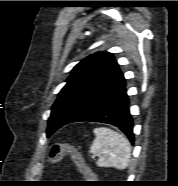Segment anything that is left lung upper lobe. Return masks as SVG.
<instances>
[{"label":"left lung upper lobe","instance_id":"5c2ea615","mask_svg":"<svg viewBox=\"0 0 178 186\" xmlns=\"http://www.w3.org/2000/svg\"><path fill=\"white\" fill-rule=\"evenodd\" d=\"M125 85L113 54L97 52L86 57L73 68L52 107L47 137Z\"/></svg>","mask_w":178,"mask_h":186}]
</instances>
